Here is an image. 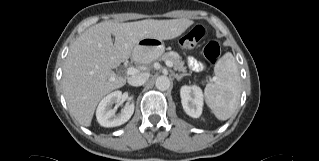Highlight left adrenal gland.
<instances>
[{
	"label": "left adrenal gland",
	"mask_w": 319,
	"mask_h": 161,
	"mask_svg": "<svg viewBox=\"0 0 319 161\" xmlns=\"http://www.w3.org/2000/svg\"><path fill=\"white\" fill-rule=\"evenodd\" d=\"M187 74H174V77L177 79V81H180L182 77L186 76Z\"/></svg>",
	"instance_id": "left-adrenal-gland-1"
}]
</instances>
